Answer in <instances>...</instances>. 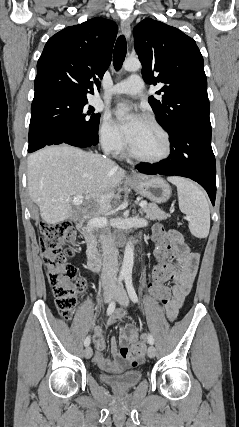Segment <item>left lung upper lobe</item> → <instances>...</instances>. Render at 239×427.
Listing matches in <instances>:
<instances>
[{"label": "left lung upper lobe", "mask_w": 239, "mask_h": 427, "mask_svg": "<svg viewBox=\"0 0 239 427\" xmlns=\"http://www.w3.org/2000/svg\"><path fill=\"white\" fill-rule=\"evenodd\" d=\"M135 50L148 84H160L162 100L149 97L157 122L172 132L181 124L210 125L203 57L195 41L179 29L150 18L133 30Z\"/></svg>", "instance_id": "1"}]
</instances>
